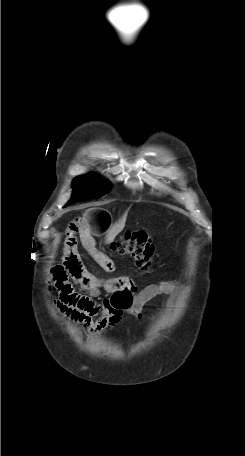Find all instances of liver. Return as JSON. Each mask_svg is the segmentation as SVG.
<instances>
[{"label":"liver","instance_id":"6515ba94","mask_svg":"<svg viewBox=\"0 0 245 456\" xmlns=\"http://www.w3.org/2000/svg\"><path fill=\"white\" fill-rule=\"evenodd\" d=\"M126 217L127 213H125L117 223L109 228L105 237V243L108 244L114 241L115 237L124 229Z\"/></svg>","mask_w":245,"mask_h":456}]
</instances>
